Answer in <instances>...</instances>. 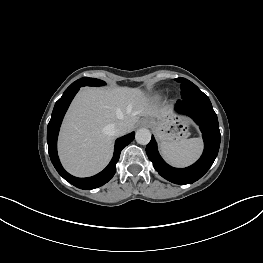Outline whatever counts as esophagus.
<instances>
[{
    "label": "esophagus",
    "instance_id": "obj_1",
    "mask_svg": "<svg viewBox=\"0 0 263 263\" xmlns=\"http://www.w3.org/2000/svg\"><path fill=\"white\" fill-rule=\"evenodd\" d=\"M140 125L143 126V127H147V126L150 125V120L147 119V118L142 119V120L140 121Z\"/></svg>",
    "mask_w": 263,
    "mask_h": 263
}]
</instances>
